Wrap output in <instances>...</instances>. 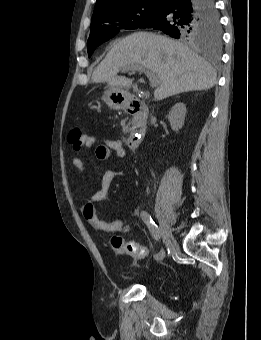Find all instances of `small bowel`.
Segmentation results:
<instances>
[{"label":"small bowel","mask_w":261,"mask_h":340,"mask_svg":"<svg viewBox=\"0 0 261 340\" xmlns=\"http://www.w3.org/2000/svg\"><path fill=\"white\" fill-rule=\"evenodd\" d=\"M97 142L101 143L96 147L95 155L101 161L109 160L112 153L118 159H122L126 155L124 144L119 139L105 138L99 135H87L83 146L91 148ZM71 163L78 172H84L85 163L81 158L74 157L72 158ZM116 175H118V172L107 169L102 176L100 189L90 194L88 200L80 206V212L83 219L97 231L107 233H127L132 230V226L127 221L118 219L108 222L100 219L96 214L94 203L99 202L106 197Z\"/></svg>","instance_id":"small-bowel-1"}]
</instances>
